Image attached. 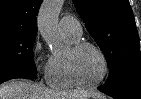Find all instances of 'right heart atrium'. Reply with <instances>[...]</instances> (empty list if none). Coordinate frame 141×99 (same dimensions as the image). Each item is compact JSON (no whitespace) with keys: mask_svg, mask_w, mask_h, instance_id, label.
I'll use <instances>...</instances> for the list:
<instances>
[{"mask_svg":"<svg viewBox=\"0 0 141 99\" xmlns=\"http://www.w3.org/2000/svg\"><path fill=\"white\" fill-rule=\"evenodd\" d=\"M33 59L39 70H41L45 76H47L49 61L46 59L43 53V45L39 39L33 45L32 49Z\"/></svg>","mask_w":141,"mask_h":99,"instance_id":"right-heart-atrium-1","label":"right heart atrium"}]
</instances>
